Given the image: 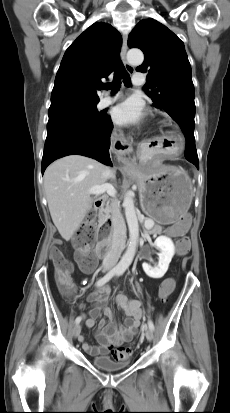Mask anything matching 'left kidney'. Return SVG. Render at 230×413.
I'll return each instance as SVG.
<instances>
[{
  "label": "left kidney",
  "instance_id": "obj_1",
  "mask_svg": "<svg viewBox=\"0 0 230 413\" xmlns=\"http://www.w3.org/2000/svg\"><path fill=\"white\" fill-rule=\"evenodd\" d=\"M155 245L160 249L159 262L157 266L151 267L147 263H143L144 272L151 278H161L167 272L172 257L175 254V246L173 241L167 236H159L155 240Z\"/></svg>",
  "mask_w": 230,
  "mask_h": 413
}]
</instances>
